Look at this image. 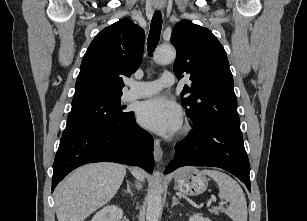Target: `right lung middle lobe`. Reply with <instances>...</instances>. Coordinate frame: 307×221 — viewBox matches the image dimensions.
<instances>
[{"instance_id": "right-lung-middle-lobe-1", "label": "right lung middle lobe", "mask_w": 307, "mask_h": 221, "mask_svg": "<svg viewBox=\"0 0 307 221\" xmlns=\"http://www.w3.org/2000/svg\"><path fill=\"white\" fill-rule=\"evenodd\" d=\"M120 97L72 103V109L68 115L66 128L62 136L126 117L128 112L122 111Z\"/></svg>"}]
</instances>
